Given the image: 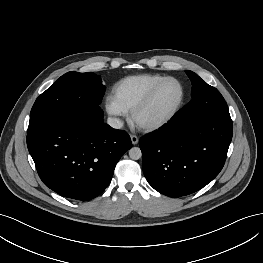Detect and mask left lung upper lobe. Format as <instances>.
Listing matches in <instances>:
<instances>
[{
	"label": "left lung upper lobe",
	"instance_id": "5c2ea615",
	"mask_svg": "<svg viewBox=\"0 0 263 263\" xmlns=\"http://www.w3.org/2000/svg\"><path fill=\"white\" fill-rule=\"evenodd\" d=\"M192 82L191 101L175 114L183 127L217 115H230L228 106L219 91L208 85L197 74L186 71Z\"/></svg>",
	"mask_w": 263,
	"mask_h": 263
}]
</instances>
